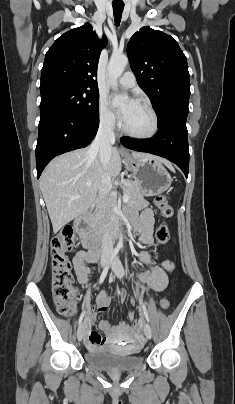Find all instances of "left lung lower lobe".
Masks as SVG:
<instances>
[{"instance_id": "1", "label": "left lung lower lobe", "mask_w": 235, "mask_h": 404, "mask_svg": "<svg viewBox=\"0 0 235 404\" xmlns=\"http://www.w3.org/2000/svg\"><path fill=\"white\" fill-rule=\"evenodd\" d=\"M123 146L140 152H148L164 157L175 163L188 176L189 149L186 122L173 120L159 126V131L150 139L122 137Z\"/></svg>"}]
</instances>
